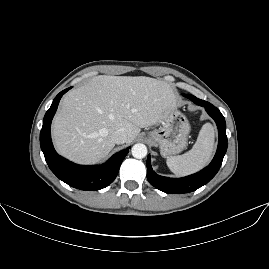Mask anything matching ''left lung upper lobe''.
<instances>
[{
	"instance_id": "obj_1",
	"label": "left lung upper lobe",
	"mask_w": 269,
	"mask_h": 269,
	"mask_svg": "<svg viewBox=\"0 0 269 269\" xmlns=\"http://www.w3.org/2000/svg\"><path fill=\"white\" fill-rule=\"evenodd\" d=\"M183 96L187 97L188 99L191 100V98L193 97V95H187V94H183Z\"/></svg>"
}]
</instances>
